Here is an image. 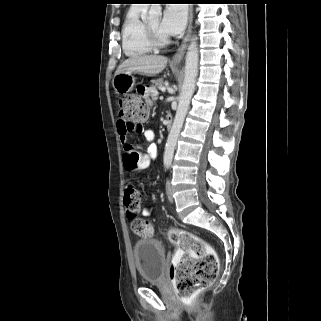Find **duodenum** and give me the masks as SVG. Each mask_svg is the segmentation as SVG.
I'll return each mask as SVG.
<instances>
[{"label":"duodenum","instance_id":"1","mask_svg":"<svg viewBox=\"0 0 321 321\" xmlns=\"http://www.w3.org/2000/svg\"><path fill=\"white\" fill-rule=\"evenodd\" d=\"M165 126L168 130L171 129L172 127V118L171 116H167L166 119H165Z\"/></svg>","mask_w":321,"mask_h":321}]
</instances>
